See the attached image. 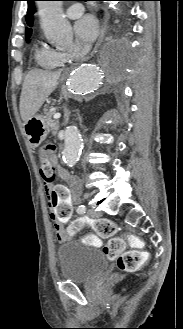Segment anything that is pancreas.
<instances>
[{
	"label": "pancreas",
	"instance_id": "obj_1",
	"mask_svg": "<svg viewBox=\"0 0 183 329\" xmlns=\"http://www.w3.org/2000/svg\"><path fill=\"white\" fill-rule=\"evenodd\" d=\"M55 112H50L46 117V125L48 130H51L53 134H56L59 130V123L52 119Z\"/></svg>",
	"mask_w": 183,
	"mask_h": 329
}]
</instances>
